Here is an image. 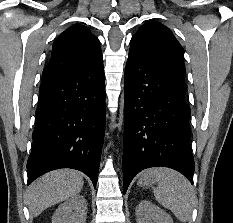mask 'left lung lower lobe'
I'll use <instances>...</instances> for the list:
<instances>
[{
  "mask_svg": "<svg viewBox=\"0 0 233 223\" xmlns=\"http://www.w3.org/2000/svg\"><path fill=\"white\" fill-rule=\"evenodd\" d=\"M123 192L149 167L175 169L193 184L190 108L184 76L130 47L124 76Z\"/></svg>",
  "mask_w": 233,
  "mask_h": 223,
  "instance_id": "1",
  "label": "left lung lower lobe"
}]
</instances>
